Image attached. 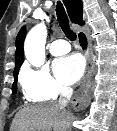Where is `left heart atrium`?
<instances>
[{"label": "left heart atrium", "mask_w": 117, "mask_h": 131, "mask_svg": "<svg viewBox=\"0 0 117 131\" xmlns=\"http://www.w3.org/2000/svg\"><path fill=\"white\" fill-rule=\"evenodd\" d=\"M56 77L65 84H73L84 72V61L77 55H69L56 60L53 64Z\"/></svg>", "instance_id": "39dd6f15"}]
</instances>
